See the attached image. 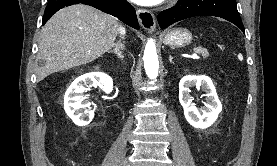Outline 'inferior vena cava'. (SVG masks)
Returning a JSON list of instances; mask_svg holds the SVG:
<instances>
[{
	"label": "inferior vena cava",
	"mask_w": 277,
	"mask_h": 166,
	"mask_svg": "<svg viewBox=\"0 0 277 166\" xmlns=\"http://www.w3.org/2000/svg\"><path fill=\"white\" fill-rule=\"evenodd\" d=\"M118 32L121 36H124L126 33L125 28H123L122 26L119 27Z\"/></svg>",
	"instance_id": "602c4592"
}]
</instances>
